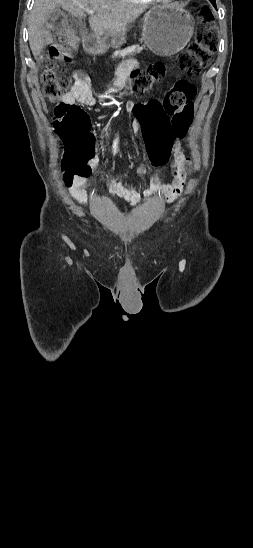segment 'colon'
Segmentation results:
<instances>
[{"label": "colon", "instance_id": "5ec220e1", "mask_svg": "<svg viewBox=\"0 0 253 548\" xmlns=\"http://www.w3.org/2000/svg\"><path fill=\"white\" fill-rule=\"evenodd\" d=\"M202 26L195 41L180 52L175 64L189 75H198L209 64L216 48V32L212 25L209 9L201 10ZM71 44L51 46L42 58L43 94L50 101H57L67 94L71 80L64 67L70 62ZM165 74L161 63H154L146 71L134 70L126 87L130 95L141 97L152 92ZM166 98H143L135 108L132 123L135 130L141 132L146 140L149 158L153 165H167L170 158V145L175 137H183L193 117V99L195 86L188 83L185 76L166 83ZM161 94L159 91L156 93ZM55 127L64 142L65 148L61 160L64 181L69 184L74 178L88 176L91 168L88 162L93 160L96 141L90 130L87 113L76 104L60 102L55 107ZM191 168L188 159L183 160L182 169Z\"/></svg>", "mask_w": 253, "mask_h": 548}]
</instances>
